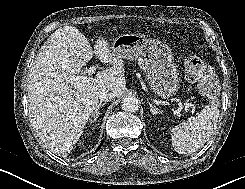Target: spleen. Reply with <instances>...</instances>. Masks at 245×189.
I'll return each mask as SVG.
<instances>
[{
  "mask_svg": "<svg viewBox=\"0 0 245 189\" xmlns=\"http://www.w3.org/2000/svg\"><path fill=\"white\" fill-rule=\"evenodd\" d=\"M219 118L216 104H209L196 117L184 121L171 129L172 145L179 154H191L210 139Z\"/></svg>",
  "mask_w": 245,
  "mask_h": 189,
  "instance_id": "1",
  "label": "spleen"
}]
</instances>
